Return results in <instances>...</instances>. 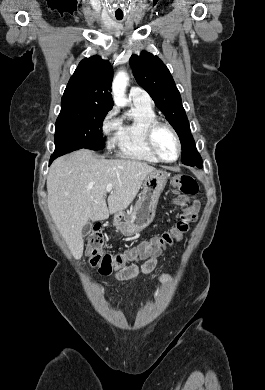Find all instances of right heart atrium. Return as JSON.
<instances>
[{"mask_svg": "<svg viewBox=\"0 0 265 390\" xmlns=\"http://www.w3.org/2000/svg\"><path fill=\"white\" fill-rule=\"evenodd\" d=\"M120 125V119L117 117V109L111 108L101 121V132L108 138V144H113L112 136L116 134Z\"/></svg>", "mask_w": 265, "mask_h": 390, "instance_id": "obj_1", "label": "right heart atrium"}]
</instances>
